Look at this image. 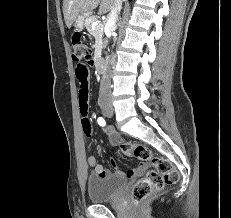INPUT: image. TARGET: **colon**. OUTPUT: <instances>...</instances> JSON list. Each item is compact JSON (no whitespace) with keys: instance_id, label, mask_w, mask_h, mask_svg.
Segmentation results:
<instances>
[{"instance_id":"1","label":"colon","mask_w":231,"mask_h":218,"mask_svg":"<svg viewBox=\"0 0 231 218\" xmlns=\"http://www.w3.org/2000/svg\"><path fill=\"white\" fill-rule=\"evenodd\" d=\"M71 45L74 61L85 63V60H92L91 50L84 43L79 33L72 35ZM120 151L126 156L149 162L154 168V170L148 172L134 185L131 193V199L134 204L141 203L151 194L160 191L165 185L174 184L179 179V173L174 165L169 160L153 154L145 145L124 143L120 145Z\"/></svg>"}]
</instances>
